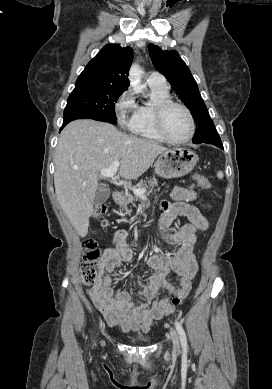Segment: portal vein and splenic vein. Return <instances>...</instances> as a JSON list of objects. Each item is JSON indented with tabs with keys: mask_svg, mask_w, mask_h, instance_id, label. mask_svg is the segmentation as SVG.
Wrapping results in <instances>:
<instances>
[{
	"mask_svg": "<svg viewBox=\"0 0 272 389\" xmlns=\"http://www.w3.org/2000/svg\"><path fill=\"white\" fill-rule=\"evenodd\" d=\"M120 165V161L119 160H116L114 161L109 168L107 169H102L100 171L101 175L103 177H112L116 174L117 170H118V167ZM133 192L135 195H138V196H143L144 193L146 192L145 189H137V188H134L133 189Z\"/></svg>",
	"mask_w": 272,
	"mask_h": 389,
	"instance_id": "obj_1",
	"label": "portal vein and splenic vein"
}]
</instances>
